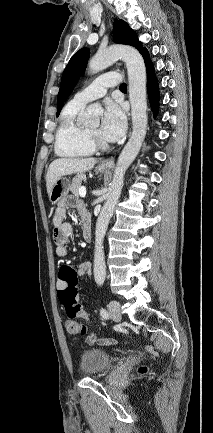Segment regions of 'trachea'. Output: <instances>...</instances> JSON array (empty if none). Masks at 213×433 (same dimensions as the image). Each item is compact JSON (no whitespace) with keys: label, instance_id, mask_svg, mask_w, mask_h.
<instances>
[{"label":"trachea","instance_id":"1","mask_svg":"<svg viewBox=\"0 0 213 433\" xmlns=\"http://www.w3.org/2000/svg\"><path fill=\"white\" fill-rule=\"evenodd\" d=\"M120 89H127V85L126 83H122L119 87Z\"/></svg>","mask_w":213,"mask_h":433}]
</instances>
